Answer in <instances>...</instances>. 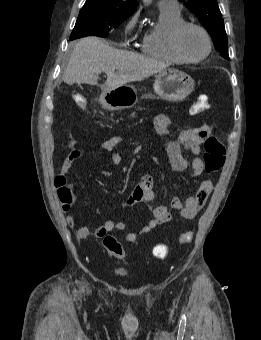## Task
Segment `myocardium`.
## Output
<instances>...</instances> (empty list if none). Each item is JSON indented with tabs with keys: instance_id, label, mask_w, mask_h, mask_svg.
<instances>
[{
	"instance_id": "1",
	"label": "myocardium",
	"mask_w": 261,
	"mask_h": 340,
	"mask_svg": "<svg viewBox=\"0 0 261 340\" xmlns=\"http://www.w3.org/2000/svg\"><path fill=\"white\" fill-rule=\"evenodd\" d=\"M189 27H194L197 28L198 30H200L202 32V34L204 35L206 42H207V50L204 53V55H202L199 58L196 59H192V58H188L187 56H185L183 54V52L180 49V37L182 35V33L184 32L185 29L189 28ZM171 48L174 51V53L183 61L186 63H199L202 62L203 60H205L206 58L209 57V55L211 54L212 51V40L210 37V34L208 33V31L206 30L205 27H203L201 24L196 23V22H192V21H183L180 24H178L172 31L171 34Z\"/></svg>"
}]
</instances>
